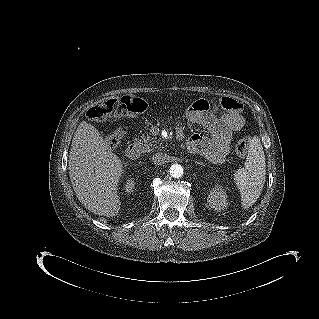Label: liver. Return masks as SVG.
<instances>
[{
  "instance_id": "6515ba94",
  "label": "liver",
  "mask_w": 319,
  "mask_h": 319,
  "mask_svg": "<svg viewBox=\"0 0 319 319\" xmlns=\"http://www.w3.org/2000/svg\"><path fill=\"white\" fill-rule=\"evenodd\" d=\"M68 165L73 190L83 206L94 214L116 216L121 205L117 185L123 164L100 132L86 121L74 133Z\"/></svg>"
}]
</instances>
